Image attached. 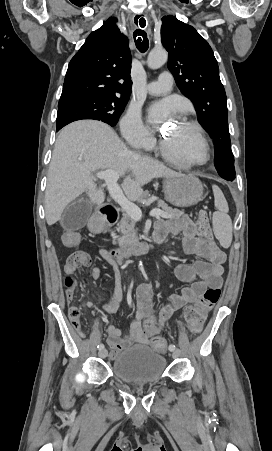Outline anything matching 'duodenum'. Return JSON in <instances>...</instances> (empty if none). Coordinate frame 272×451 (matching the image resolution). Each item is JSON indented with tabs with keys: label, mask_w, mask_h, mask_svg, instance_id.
<instances>
[{
	"label": "duodenum",
	"mask_w": 272,
	"mask_h": 451,
	"mask_svg": "<svg viewBox=\"0 0 272 451\" xmlns=\"http://www.w3.org/2000/svg\"><path fill=\"white\" fill-rule=\"evenodd\" d=\"M118 219V209L111 204L103 205L98 214L90 222V230L94 234L102 233L106 228L114 224ZM154 243H159L160 240L154 238ZM151 243H135L133 245L125 246L119 248L113 252L111 255L119 259L127 258L132 255H138L147 252L151 248Z\"/></svg>",
	"instance_id": "1"
}]
</instances>
